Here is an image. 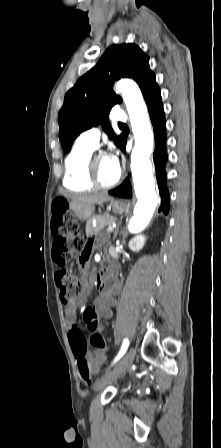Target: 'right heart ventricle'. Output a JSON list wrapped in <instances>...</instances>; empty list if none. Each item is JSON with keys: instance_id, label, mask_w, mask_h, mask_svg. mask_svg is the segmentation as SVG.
<instances>
[{"instance_id": "1", "label": "right heart ventricle", "mask_w": 221, "mask_h": 448, "mask_svg": "<svg viewBox=\"0 0 221 448\" xmlns=\"http://www.w3.org/2000/svg\"><path fill=\"white\" fill-rule=\"evenodd\" d=\"M94 148L77 142L65 159L63 185L73 191L94 189L88 177V160Z\"/></svg>"}]
</instances>
